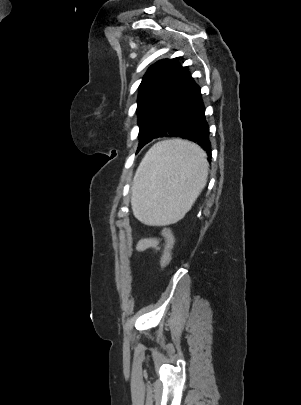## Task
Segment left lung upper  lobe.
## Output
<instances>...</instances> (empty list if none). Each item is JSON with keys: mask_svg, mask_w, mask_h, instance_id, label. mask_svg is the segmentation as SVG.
<instances>
[{"mask_svg": "<svg viewBox=\"0 0 301 405\" xmlns=\"http://www.w3.org/2000/svg\"><path fill=\"white\" fill-rule=\"evenodd\" d=\"M191 76L179 63L163 59L153 64L139 86V139L160 127L173 105L184 94Z\"/></svg>", "mask_w": 301, "mask_h": 405, "instance_id": "5c2ea615", "label": "left lung upper lobe"}]
</instances>
